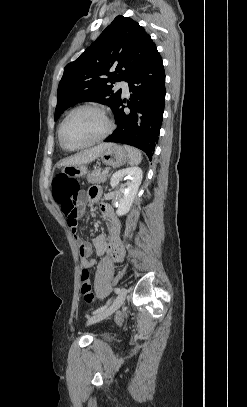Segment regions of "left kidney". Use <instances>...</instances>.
I'll list each match as a JSON object with an SVG mask.
<instances>
[{
  "label": "left kidney",
  "mask_w": 247,
  "mask_h": 407,
  "mask_svg": "<svg viewBox=\"0 0 247 407\" xmlns=\"http://www.w3.org/2000/svg\"><path fill=\"white\" fill-rule=\"evenodd\" d=\"M123 178L129 179V182L127 187L121 190L122 196L119 198V206L116 211L118 216L129 212L143 178L142 170L139 167H130L115 172L110 180L111 187H117Z\"/></svg>",
  "instance_id": "left-kidney-1"
}]
</instances>
